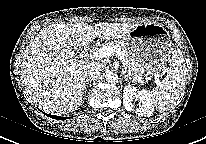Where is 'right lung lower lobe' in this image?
Returning a JSON list of instances; mask_svg holds the SVG:
<instances>
[{"label": "right lung lower lobe", "instance_id": "obj_1", "mask_svg": "<svg viewBox=\"0 0 206 144\" xmlns=\"http://www.w3.org/2000/svg\"><path fill=\"white\" fill-rule=\"evenodd\" d=\"M48 117H51L53 119H59V120H64L67 119V117H59V116H55V115H50V114H46Z\"/></svg>", "mask_w": 206, "mask_h": 144}]
</instances>
